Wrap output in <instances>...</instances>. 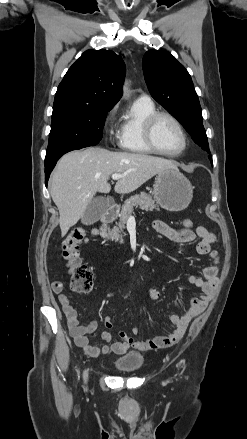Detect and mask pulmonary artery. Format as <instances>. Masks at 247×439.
I'll use <instances>...</instances> for the list:
<instances>
[{
    "mask_svg": "<svg viewBox=\"0 0 247 439\" xmlns=\"http://www.w3.org/2000/svg\"><path fill=\"white\" fill-rule=\"evenodd\" d=\"M138 99H140V100H150V98L147 95H141Z\"/></svg>",
    "mask_w": 247,
    "mask_h": 439,
    "instance_id": "pulmonary-artery-1",
    "label": "pulmonary artery"
}]
</instances>
